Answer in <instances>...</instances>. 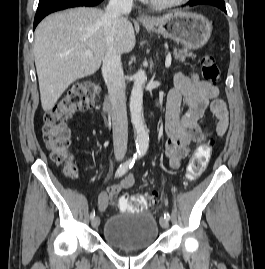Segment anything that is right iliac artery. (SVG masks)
Instances as JSON below:
<instances>
[{"label": "right iliac artery", "mask_w": 265, "mask_h": 269, "mask_svg": "<svg viewBox=\"0 0 265 269\" xmlns=\"http://www.w3.org/2000/svg\"><path fill=\"white\" fill-rule=\"evenodd\" d=\"M135 160H136V156L130 158L129 160L121 164L115 173V177H121L122 175H124L129 169L133 167ZM94 217H95V212L92 211L90 214V218L93 219Z\"/></svg>", "instance_id": "right-iliac-artery-1"}]
</instances>
